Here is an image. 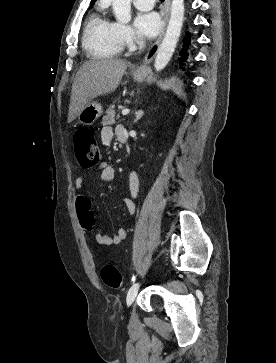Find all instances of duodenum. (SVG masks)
<instances>
[{"label": "duodenum", "instance_id": "1", "mask_svg": "<svg viewBox=\"0 0 276 363\" xmlns=\"http://www.w3.org/2000/svg\"><path fill=\"white\" fill-rule=\"evenodd\" d=\"M118 140L121 143H125L127 141V134L126 133H120L118 136Z\"/></svg>", "mask_w": 276, "mask_h": 363}]
</instances>
